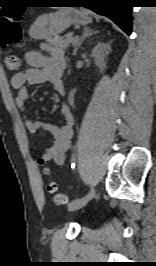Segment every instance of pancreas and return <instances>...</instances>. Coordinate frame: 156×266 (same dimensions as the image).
<instances>
[{"mask_svg": "<svg viewBox=\"0 0 156 266\" xmlns=\"http://www.w3.org/2000/svg\"><path fill=\"white\" fill-rule=\"evenodd\" d=\"M71 37L66 36V37H61V36H55L52 38H49L47 40L49 46L47 47L48 49H52V48H61V49H66L67 47H69L70 42L69 39Z\"/></svg>", "mask_w": 156, "mask_h": 266, "instance_id": "obj_1", "label": "pancreas"}]
</instances>
